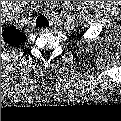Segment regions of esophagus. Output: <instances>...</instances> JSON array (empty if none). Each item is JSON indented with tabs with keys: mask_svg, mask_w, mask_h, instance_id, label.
<instances>
[{
	"mask_svg": "<svg viewBox=\"0 0 121 121\" xmlns=\"http://www.w3.org/2000/svg\"><path fill=\"white\" fill-rule=\"evenodd\" d=\"M47 30H48L47 28H42V29H41L42 32H45V31H47Z\"/></svg>",
	"mask_w": 121,
	"mask_h": 121,
	"instance_id": "34e87169",
	"label": "esophagus"
}]
</instances>
